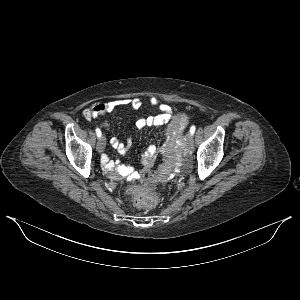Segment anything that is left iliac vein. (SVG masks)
I'll return each instance as SVG.
<instances>
[{
  "mask_svg": "<svg viewBox=\"0 0 300 300\" xmlns=\"http://www.w3.org/2000/svg\"><path fill=\"white\" fill-rule=\"evenodd\" d=\"M185 141L189 148L193 146V136L190 132H187L185 135Z\"/></svg>",
  "mask_w": 300,
  "mask_h": 300,
  "instance_id": "4c4485c4",
  "label": "left iliac vein"
}]
</instances>
